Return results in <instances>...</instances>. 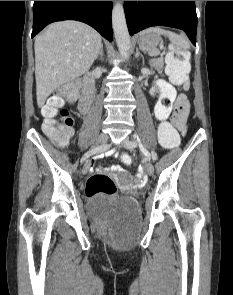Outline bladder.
Listing matches in <instances>:
<instances>
[{
    "label": "bladder",
    "mask_w": 233,
    "mask_h": 295,
    "mask_svg": "<svg viewBox=\"0 0 233 295\" xmlns=\"http://www.w3.org/2000/svg\"><path fill=\"white\" fill-rule=\"evenodd\" d=\"M100 211L106 214H136L138 212V204L132 197H123L111 204L101 207Z\"/></svg>",
    "instance_id": "31cf9c89"
}]
</instances>
